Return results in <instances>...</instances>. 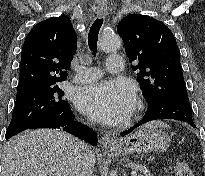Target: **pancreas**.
Wrapping results in <instances>:
<instances>
[{"mask_svg":"<svg viewBox=\"0 0 205 176\" xmlns=\"http://www.w3.org/2000/svg\"><path fill=\"white\" fill-rule=\"evenodd\" d=\"M141 170V174L139 176H153L149 171H147V168L144 166H139Z\"/></svg>","mask_w":205,"mask_h":176,"instance_id":"obj_1","label":"pancreas"}]
</instances>
